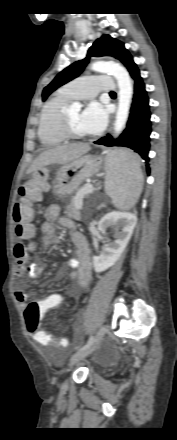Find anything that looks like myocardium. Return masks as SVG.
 <instances>
[{"label":"myocardium","instance_id":"obj_1","mask_svg":"<svg viewBox=\"0 0 177 440\" xmlns=\"http://www.w3.org/2000/svg\"><path fill=\"white\" fill-rule=\"evenodd\" d=\"M60 128L65 140H80L85 138V135L73 130L66 109H64L61 114Z\"/></svg>","mask_w":177,"mask_h":440}]
</instances>
